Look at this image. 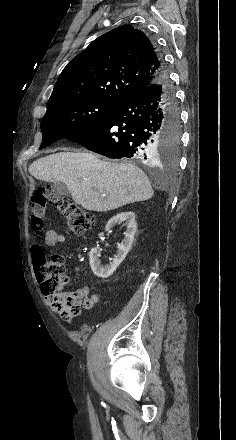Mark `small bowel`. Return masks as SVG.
<instances>
[{"instance_id":"1","label":"small bowel","mask_w":236,"mask_h":440,"mask_svg":"<svg viewBox=\"0 0 236 440\" xmlns=\"http://www.w3.org/2000/svg\"><path fill=\"white\" fill-rule=\"evenodd\" d=\"M65 240L66 239L64 235L59 234L54 230H48L44 236V245L47 247H53L58 244L64 243ZM31 255L34 266H36L37 269L38 263L43 258L42 248L35 246L32 250ZM68 295L79 303V307L74 312L73 318L79 316L82 309H91L99 301V295L95 293H91L90 288L88 286H83L73 292L68 293ZM45 298L49 303V306L52 309V311L61 315L60 311L57 309L56 305L51 302L49 297L46 296Z\"/></svg>"}]
</instances>
